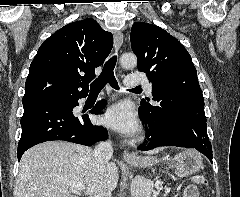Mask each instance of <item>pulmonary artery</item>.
<instances>
[{"label": "pulmonary artery", "mask_w": 240, "mask_h": 197, "mask_svg": "<svg viewBox=\"0 0 240 197\" xmlns=\"http://www.w3.org/2000/svg\"><path fill=\"white\" fill-rule=\"evenodd\" d=\"M139 84H144L147 91H151V89H152L151 84H149L148 82L144 81L141 78V73L140 72L130 74L127 77L126 82H125V85L128 88H133V87H135L136 85H139Z\"/></svg>", "instance_id": "pulmonary-artery-1"}]
</instances>
